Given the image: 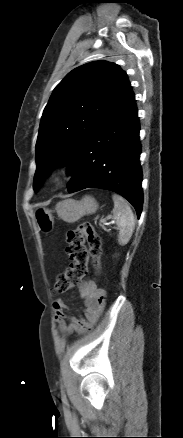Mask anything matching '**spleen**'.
I'll return each instance as SVG.
<instances>
[{
  "label": "spleen",
  "mask_w": 183,
  "mask_h": 438,
  "mask_svg": "<svg viewBox=\"0 0 183 438\" xmlns=\"http://www.w3.org/2000/svg\"><path fill=\"white\" fill-rule=\"evenodd\" d=\"M112 198L114 201L113 218L119 230L118 242L120 245H126L134 231V214L124 198L116 194Z\"/></svg>",
  "instance_id": "spleen-1"
}]
</instances>
